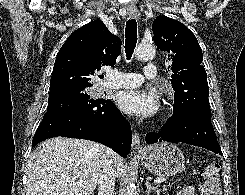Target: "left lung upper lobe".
<instances>
[{
	"label": "left lung upper lobe",
	"mask_w": 245,
	"mask_h": 195,
	"mask_svg": "<svg viewBox=\"0 0 245 195\" xmlns=\"http://www.w3.org/2000/svg\"><path fill=\"white\" fill-rule=\"evenodd\" d=\"M152 30L156 46L169 53L168 60L172 61L173 113L198 110L211 114L207 74L195 35L184 24L166 16H158Z\"/></svg>",
	"instance_id": "obj_1"
}]
</instances>
